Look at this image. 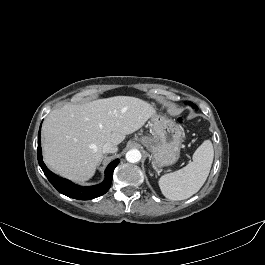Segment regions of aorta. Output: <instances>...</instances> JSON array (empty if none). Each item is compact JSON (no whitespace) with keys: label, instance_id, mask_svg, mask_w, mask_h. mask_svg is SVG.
Here are the masks:
<instances>
[{"label":"aorta","instance_id":"aorta-1","mask_svg":"<svg viewBox=\"0 0 265 265\" xmlns=\"http://www.w3.org/2000/svg\"><path fill=\"white\" fill-rule=\"evenodd\" d=\"M126 160L130 163H137L141 160V153L137 149H132L126 153Z\"/></svg>","mask_w":265,"mask_h":265}]
</instances>
